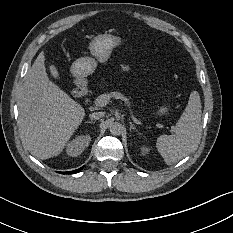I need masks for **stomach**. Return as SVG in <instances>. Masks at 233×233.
<instances>
[{"mask_svg": "<svg viewBox=\"0 0 233 233\" xmlns=\"http://www.w3.org/2000/svg\"><path fill=\"white\" fill-rule=\"evenodd\" d=\"M121 44V38L109 33L96 35L89 43L91 56L76 59L70 68L74 78L84 79L93 74L98 63H105L110 58L114 48ZM167 112L166 107L159 109L160 114Z\"/></svg>", "mask_w": 233, "mask_h": 233, "instance_id": "stomach-1", "label": "stomach"}]
</instances>
